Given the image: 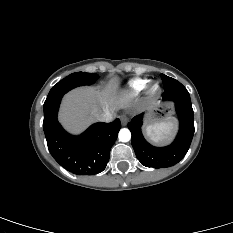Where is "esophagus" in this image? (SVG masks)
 <instances>
[{
  "instance_id": "1",
  "label": "esophagus",
  "mask_w": 233,
  "mask_h": 233,
  "mask_svg": "<svg viewBox=\"0 0 233 233\" xmlns=\"http://www.w3.org/2000/svg\"><path fill=\"white\" fill-rule=\"evenodd\" d=\"M120 120L123 126H125L128 122V118L125 115H122Z\"/></svg>"
}]
</instances>
